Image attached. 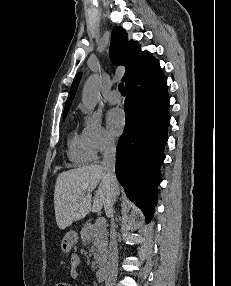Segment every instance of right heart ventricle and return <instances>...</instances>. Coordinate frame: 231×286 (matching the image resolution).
Segmentation results:
<instances>
[{
  "label": "right heart ventricle",
  "mask_w": 231,
  "mask_h": 286,
  "mask_svg": "<svg viewBox=\"0 0 231 286\" xmlns=\"http://www.w3.org/2000/svg\"><path fill=\"white\" fill-rule=\"evenodd\" d=\"M68 158L76 164H87L96 159V154L88 145L83 134L72 132L68 138Z\"/></svg>",
  "instance_id": "obj_1"
}]
</instances>
